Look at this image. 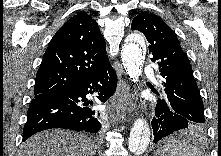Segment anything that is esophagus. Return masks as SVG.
<instances>
[{
  "instance_id": "obj_1",
  "label": "esophagus",
  "mask_w": 221,
  "mask_h": 156,
  "mask_svg": "<svg viewBox=\"0 0 221 156\" xmlns=\"http://www.w3.org/2000/svg\"><path fill=\"white\" fill-rule=\"evenodd\" d=\"M130 105V85L126 81L121 80L115 95V99L112 103V116L114 120H123L126 117V114L130 111Z\"/></svg>"
}]
</instances>
